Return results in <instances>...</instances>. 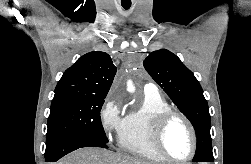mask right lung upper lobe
I'll use <instances>...</instances> for the list:
<instances>
[{
    "label": "right lung upper lobe",
    "instance_id": "obj_1",
    "mask_svg": "<svg viewBox=\"0 0 251 164\" xmlns=\"http://www.w3.org/2000/svg\"><path fill=\"white\" fill-rule=\"evenodd\" d=\"M115 74L116 67L107 53L89 52L63 73L55 94L106 96Z\"/></svg>",
    "mask_w": 251,
    "mask_h": 164
}]
</instances>
